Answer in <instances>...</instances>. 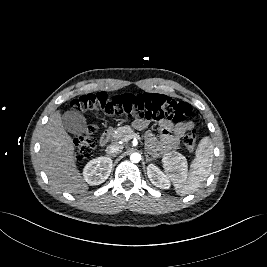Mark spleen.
<instances>
[{
    "label": "spleen",
    "instance_id": "obj_1",
    "mask_svg": "<svg viewBox=\"0 0 267 267\" xmlns=\"http://www.w3.org/2000/svg\"><path fill=\"white\" fill-rule=\"evenodd\" d=\"M195 156L190 171L185 157L180 153L176 152L173 159L164 161V168L178 194L187 195L196 191L210 174L213 161V145L210 137L205 136L200 140Z\"/></svg>",
    "mask_w": 267,
    "mask_h": 267
}]
</instances>
